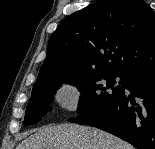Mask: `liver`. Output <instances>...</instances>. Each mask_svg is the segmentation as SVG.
Here are the masks:
<instances>
[{
  "label": "liver",
  "mask_w": 155,
  "mask_h": 149,
  "mask_svg": "<svg viewBox=\"0 0 155 149\" xmlns=\"http://www.w3.org/2000/svg\"><path fill=\"white\" fill-rule=\"evenodd\" d=\"M16 149H134L125 141L98 129L77 124L46 126Z\"/></svg>",
  "instance_id": "liver-1"
}]
</instances>
